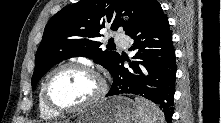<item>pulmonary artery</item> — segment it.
I'll return each mask as SVG.
<instances>
[{"label": "pulmonary artery", "mask_w": 221, "mask_h": 123, "mask_svg": "<svg viewBox=\"0 0 221 123\" xmlns=\"http://www.w3.org/2000/svg\"><path fill=\"white\" fill-rule=\"evenodd\" d=\"M114 40L123 47H126L128 45V38L124 34H115Z\"/></svg>", "instance_id": "e3ab8cb5"}]
</instances>
